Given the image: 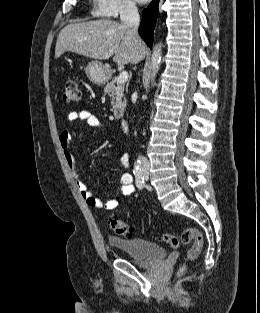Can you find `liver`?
I'll return each instance as SVG.
<instances>
[{"mask_svg": "<svg viewBox=\"0 0 260 313\" xmlns=\"http://www.w3.org/2000/svg\"><path fill=\"white\" fill-rule=\"evenodd\" d=\"M66 51L93 59L113 56L119 65L137 64L144 58L146 46L131 28L110 19L72 23L58 35L55 58Z\"/></svg>", "mask_w": 260, "mask_h": 313, "instance_id": "obj_1", "label": "liver"}]
</instances>
